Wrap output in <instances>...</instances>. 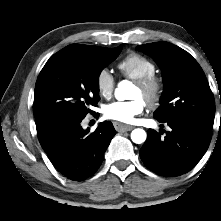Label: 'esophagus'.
Segmentation results:
<instances>
[{
    "instance_id": "esophagus-1",
    "label": "esophagus",
    "mask_w": 221,
    "mask_h": 221,
    "mask_svg": "<svg viewBox=\"0 0 221 221\" xmlns=\"http://www.w3.org/2000/svg\"><path fill=\"white\" fill-rule=\"evenodd\" d=\"M114 127L118 132L131 131L134 127L130 125H124L119 122H114Z\"/></svg>"
}]
</instances>
